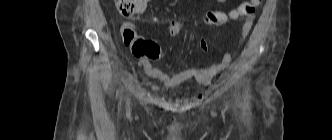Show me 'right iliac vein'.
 I'll list each match as a JSON object with an SVG mask.
<instances>
[{"mask_svg": "<svg viewBox=\"0 0 332 140\" xmlns=\"http://www.w3.org/2000/svg\"><path fill=\"white\" fill-rule=\"evenodd\" d=\"M129 103H130L129 100H127V101H126V106H127V107L129 106Z\"/></svg>", "mask_w": 332, "mask_h": 140, "instance_id": "right-iliac-vein-1", "label": "right iliac vein"}]
</instances>
